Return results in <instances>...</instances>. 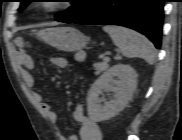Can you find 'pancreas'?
I'll list each match as a JSON object with an SVG mask.
<instances>
[{
    "label": "pancreas",
    "mask_w": 182,
    "mask_h": 140,
    "mask_svg": "<svg viewBox=\"0 0 182 140\" xmlns=\"http://www.w3.org/2000/svg\"><path fill=\"white\" fill-rule=\"evenodd\" d=\"M109 65L106 62H99L94 64V70L96 74H100L101 72L107 70Z\"/></svg>",
    "instance_id": "cf45deb5"
}]
</instances>
